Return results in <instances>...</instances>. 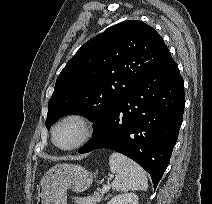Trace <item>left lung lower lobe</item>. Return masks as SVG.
Segmentation results:
<instances>
[{
  "label": "left lung lower lobe",
  "instance_id": "left-lung-lower-lobe-1",
  "mask_svg": "<svg viewBox=\"0 0 212 204\" xmlns=\"http://www.w3.org/2000/svg\"><path fill=\"white\" fill-rule=\"evenodd\" d=\"M185 106L184 81L170 52L117 102L79 150L111 149L126 155L157 187L178 138Z\"/></svg>",
  "mask_w": 212,
  "mask_h": 204
}]
</instances>
